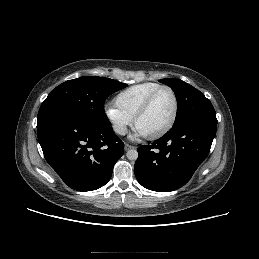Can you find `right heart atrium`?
<instances>
[{
    "mask_svg": "<svg viewBox=\"0 0 259 259\" xmlns=\"http://www.w3.org/2000/svg\"><path fill=\"white\" fill-rule=\"evenodd\" d=\"M104 115L112 130L117 135H124L132 124V119L119 110L116 106L107 104L104 107Z\"/></svg>",
    "mask_w": 259,
    "mask_h": 259,
    "instance_id": "d8ad5b80",
    "label": "right heart atrium"
}]
</instances>
